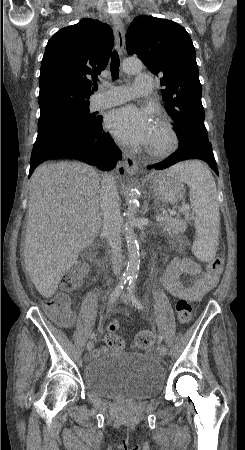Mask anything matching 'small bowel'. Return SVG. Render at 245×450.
Here are the masks:
<instances>
[{
	"instance_id": "1",
	"label": "small bowel",
	"mask_w": 245,
	"mask_h": 450,
	"mask_svg": "<svg viewBox=\"0 0 245 450\" xmlns=\"http://www.w3.org/2000/svg\"><path fill=\"white\" fill-rule=\"evenodd\" d=\"M186 275L195 277L191 284L183 280ZM161 283L176 298L198 301L217 285L218 275L209 270H202L190 259L175 257L165 269ZM109 351V347L101 346L95 350V354H107Z\"/></svg>"
}]
</instances>
